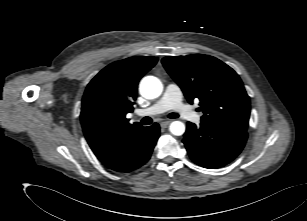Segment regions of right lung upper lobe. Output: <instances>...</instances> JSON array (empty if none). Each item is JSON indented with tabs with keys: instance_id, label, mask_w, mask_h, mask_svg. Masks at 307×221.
<instances>
[{
	"instance_id": "obj_1",
	"label": "right lung upper lobe",
	"mask_w": 307,
	"mask_h": 221,
	"mask_svg": "<svg viewBox=\"0 0 307 221\" xmlns=\"http://www.w3.org/2000/svg\"><path fill=\"white\" fill-rule=\"evenodd\" d=\"M158 58L130 57L111 63L88 84L81 109V124L86 140L98 159L142 128L130 124L125 115L133 111L137 86Z\"/></svg>"
}]
</instances>
